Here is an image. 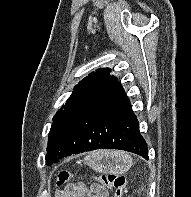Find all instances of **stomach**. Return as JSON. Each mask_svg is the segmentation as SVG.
<instances>
[{
    "instance_id": "obj_1",
    "label": "stomach",
    "mask_w": 191,
    "mask_h": 197,
    "mask_svg": "<svg viewBox=\"0 0 191 197\" xmlns=\"http://www.w3.org/2000/svg\"><path fill=\"white\" fill-rule=\"evenodd\" d=\"M85 164L99 173L119 175L127 172L132 162L123 152L97 151L85 157Z\"/></svg>"
}]
</instances>
